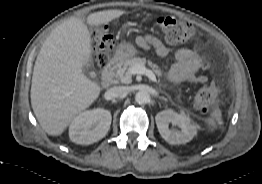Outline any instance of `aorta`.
I'll list each match as a JSON object with an SVG mask.
<instances>
[{
  "label": "aorta",
  "mask_w": 262,
  "mask_h": 184,
  "mask_svg": "<svg viewBox=\"0 0 262 184\" xmlns=\"http://www.w3.org/2000/svg\"><path fill=\"white\" fill-rule=\"evenodd\" d=\"M135 101L138 104H146L150 101V95L145 90H140L135 94Z\"/></svg>",
  "instance_id": "obj_1"
}]
</instances>
